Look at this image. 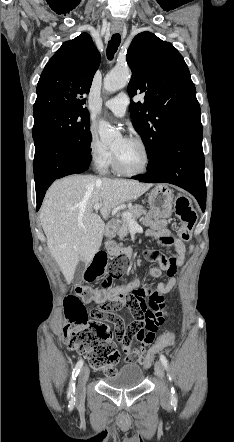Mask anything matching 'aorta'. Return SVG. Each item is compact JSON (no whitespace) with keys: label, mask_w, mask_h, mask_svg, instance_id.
<instances>
[{"label":"aorta","mask_w":234,"mask_h":442,"mask_svg":"<svg viewBox=\"0 0 234 442\" xmlns=\"http://www.w3.org/2000/svg\"><path fill=\"white\" fill-rule=\"evenodd\" d=\"M131 78V72L128 67L115 68L104 78L103 87L109 92L113 93L124 88ZM99 135L103 143L111 144L113 140L120 136L109 123L101 120L99 123Z\"/></svg>","instance_id":"1"}]
</instances>
